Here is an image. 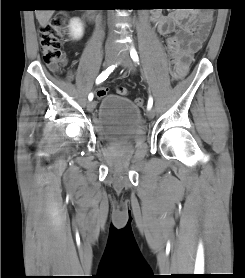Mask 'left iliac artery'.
<instances>
[{
  "label": "left iliac artery",
  "instance_id": "left-iliac-artery-1",
  "mask_svg": "<svg viewBox=\"0 0 245 278\" xmlns=\"http://www.w3.org/2000/svg\"><path fill=\"white\" fill-rule=\"evenodd\" d=\"M130 56L134 62H137V63L139 62L138 54L134 48L131 49ZM152 105H153V98L150 96L148 99V105H147L148 109L151 108Z\"/></svg>",
  "mask_w": 245,
  "mask_h": 278
}]
</instances>
